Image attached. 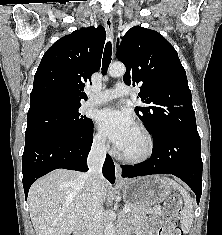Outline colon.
Listing matches in <instances>:
<instances>
[{
    "label": "colon",
    "mask_w": 222,
    "mask_h": 235,
    "mask_svg": "<svg viewBox=\"0 0 222 235\" xmlns=\"http://www.w3.org/2000/svg\"><path fill=\"white\" fill-rule=\"evenodd\" d=\"M181 212V201L172 197L164 204V226L159 235H183V232L176 226V219Z\"/></svg>",
    "instance_id": "colon-1"
}]
</instances>
